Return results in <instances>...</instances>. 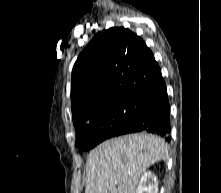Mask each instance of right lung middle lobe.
Instances as JSON below:
<instances>
[{
	"mask_svg": "<svg viewBox=\"0 0 221 193\" xmlns=\"http://www.w3.org/2000/svg\"><path fill=\"white\" fill-rule=\"evenodd\" d=\"M144 99L127 98L112 102L79 122L76 141L80 149L89 150L113 137L122 127L133 122L144 109Z\"/></svg>",
	"mask_w": 221,
	"mask_h": 193,
	"instance_id": "dd1d6c3e",
	"label": "right lung middle lobe"
}]
</instances>
